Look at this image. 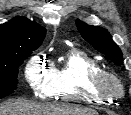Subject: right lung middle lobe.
<instances>
[{"label":"right lung middle lobe","mask_w":131,"mask_h":115,"mask_svg":"<svg viewBox=\"0 0 131 115\" xmlns=\"http://www.w3.org/2000/svg\"><path fill=\"white\" fill-rule=\"evenodd\" d=\"M34 49L24 50L12 55L6 63H0V99L17 88L18 67L30 56Z\"/></svg>","instance_id":"1"}]
</instances>
